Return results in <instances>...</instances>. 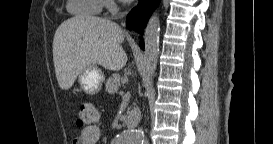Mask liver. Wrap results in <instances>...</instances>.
I'll list each match as a JSON object with an SVG mask.
<instances>
[{
	"label": "liver",
	"instance_id": "6515ba94",
	"mask_svg": "<svg viewBox=\"0 0 273 144\" xmlns=\"http://www.w3.org/2000/svg\"><path fill=\"white\" fill-rule=\"evenodd\" d=\"M124 31L108 19L78 15L57 28L53 38V61L61 89L68 90L88 65L118 71L127 62L121 46Z\"/></svg>",
	"mask_w": 273,
	"mask_h": 144
}]
</instances>
